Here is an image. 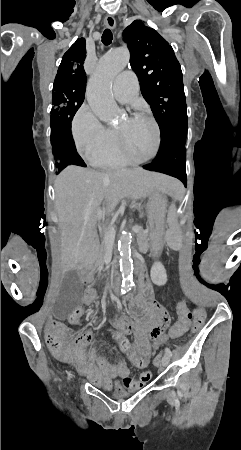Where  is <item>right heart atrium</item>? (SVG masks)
Here are the masks:
<instances>
[{
	"label": "right heart atrium",
	"mask_w": 241,
	"mask_h": 450,
	"mask_svg": "<svg viewBox=\"0 0 241 450\" xmlns=\"http://www.w3.org/2000/svg\"><path fill=\"white\" fill-rule=\"evenodd\" d=\"M73 141L78 154L83 158L99 156L109 150L110 141L116 131L106 130L100 125L86 104L77 111L72 121ZM104 134V136H103Z\"/></svg>",
	"instance_id": "1"
}]
</instances>
